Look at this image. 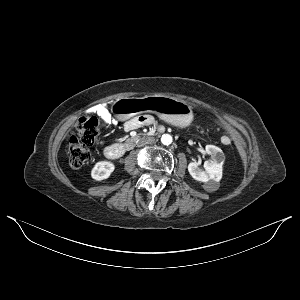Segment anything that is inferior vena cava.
<instances>
[{"instance_id":"1","label":"inferior vena cava","mask_w":300,"mask_h":300,"mask_svg":"<svg viewBox=\"0 0 300 300\" xmlns=\"http://www.w3.org/2000/svg\"><path fill=\"white\" fill-rule=\"evenodd\" d=\"M154 142L153 138H143L139 141L138 146L148 145Z\"/></svg>"}]
</instances>
